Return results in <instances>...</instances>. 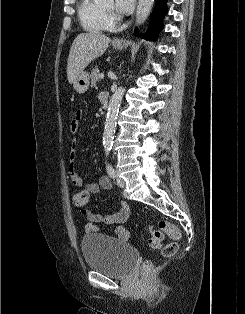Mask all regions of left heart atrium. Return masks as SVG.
<instances>
[{
  "label": "left heart atrium",
  "instance_id": "39dd6f15",
  "mask_svg": "<svg viewBox=\"0 0 245 314\" xmlns=\"http://www.w3.org/2000/svg\"><path fill=\"white\" fill-rule=\"evenodd\" d=\"M135 5V0H116L115 7L120 13H129Z\"/></svg>",
  "mask_w": 245,
  "mask_h": 314
}]
</instances>
